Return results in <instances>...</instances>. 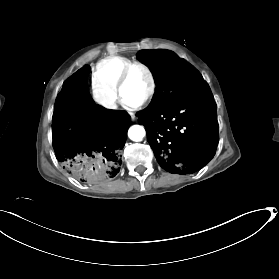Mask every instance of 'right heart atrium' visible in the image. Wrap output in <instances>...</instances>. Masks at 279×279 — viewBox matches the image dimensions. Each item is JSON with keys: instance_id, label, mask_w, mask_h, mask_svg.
Returning <instances> with one entry per match:
<instances>
[{"instance_id": "d8ad5b80", "label": "right heart atrium", "mask_w": 279, "mask_h": 279, "mask_svg": "<svg viewBox=\"0 0 279 279\" xmlns=\"http://www.w3.org/2000/svg\"><path fill=\"white\" fill-rule=\"evenodd\" d=\"M92 97L96 105L106 114H113L118 110L120 99L116 93L101 84H93Z\"/></svg>"}]
</instances>
